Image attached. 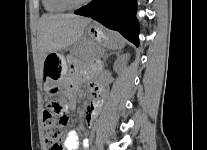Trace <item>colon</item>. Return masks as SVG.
<instances>
[{
	"mask_svg": "<svg viewBox=\"0 0 207 150\" xmlns=\"http://www.w3.org/2000/svg\"><path fill=\"white\" fill-rule=\"evenodd\" d=\"M68 120L67 109L57 101L48 102L44 111V134L48 150H65L63 128Z\"/></svg>",
	"mask_w": 207,
	"mask_h": 150,
	"instance_id": "colon-1",
	"label": "colon"
}]
</instances>
